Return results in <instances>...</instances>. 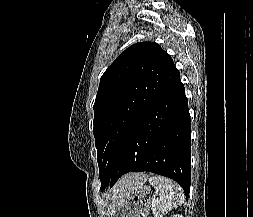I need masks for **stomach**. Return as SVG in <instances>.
<instances>
[{
	"mask_svg": "<svg viewBox=\"0 0 253 217\" xmlns=\"http://www.w3.org/2000/svg\"><path fill=\"white\" fill-rule=\"evenodd\" d=\"M153 201L148 187L143 184L114 200L109 217H148Z\"/></svg>",
	"mask_w": 253,
	"mask_h": 217,
	"instance_id": "0dacf381",
	"label": "stomach"
}]
</instances>
